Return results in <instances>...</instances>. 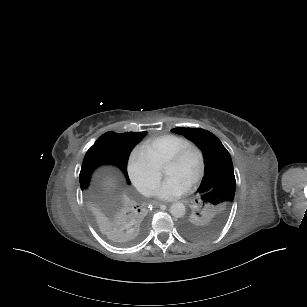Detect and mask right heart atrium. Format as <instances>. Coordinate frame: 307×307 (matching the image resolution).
Masks as SVG:
<instances>
[{"instance_id":"right-heart-atrium-1","label":"right heart atrium","mask_w":307,"mask_h":307,"mask_svg":"<svg viewBox=\"0 0 307 307\" xmlns=\"http://www.w3.org/2000/svg\"><path fill=\"white\" fill-rule=\"evenodd\" d=\"M127 171L132 184L142 193H148L158 177V160L143 142L131 147L127 158Z\"/></svg>"}]
</instances>
